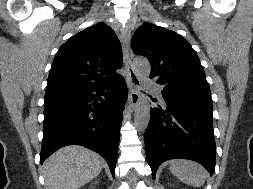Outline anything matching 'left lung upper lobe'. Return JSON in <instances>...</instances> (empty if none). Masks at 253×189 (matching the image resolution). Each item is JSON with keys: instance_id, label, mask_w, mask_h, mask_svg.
Instances as JSON below:
<instances>
[{"instance_id": "5c2ea615", "label": "left lung upper lobe", "mask_w": 253, "mask_h": 189, "mask_svg": "<svg viewBox=\"0 0 253 189\" xmlns=\"http://www.w3.org/2000/svg\"><path fill=\"white\" fill-rule=\"evenodd\" d=\"M131 47L136 55L148 58L150 78L163 86L162 93L212 107L210 87L199 57L181 35L146 22L134 33Z\"/></svg>"}]
</instances>
